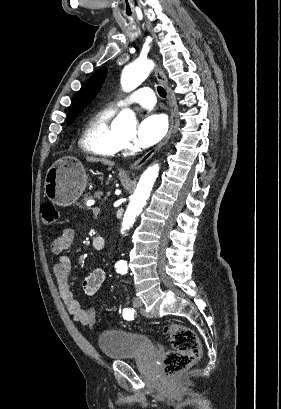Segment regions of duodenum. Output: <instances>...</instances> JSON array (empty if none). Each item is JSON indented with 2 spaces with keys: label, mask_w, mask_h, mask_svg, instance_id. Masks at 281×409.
Segmentation results:
<instances>
[{
  "label": "duodenum",
  "mask_w": 281,
  "mask_h": 409,
  "mask_svg": "<svg viewBox=\"0 0 281 409\" xmlns=\"http://www.w3.org/2000/svg\"><path fill=\"white\" fill-rule=\"evenodd\" d=\"M99 240H102V238H101V237H96V238L94 239L93 247H94L95 250H100V248H101V245H100V241H99Z\"/></svg>",
  "instance_id": "410a0bca"
}]
</instances>
